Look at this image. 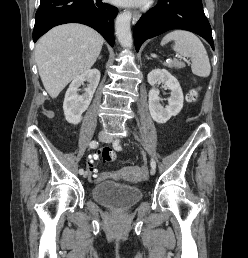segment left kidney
Instances as JSON below:
<instances>
[{
  "instance_id": "left-kidney-1",
  "label": "left kidney",
  "mask_w": 248,
  "mask_h": 258,
  "mask_svg": "<svg viewBox=\"0 0 248 258\" xmlns=\"http://www.w3.org/2000/svg\"><path fill=\"white\" fill-rule=\"evenodd\" d=\"M147 80L153 86L148 94L150 115L155 122L160 124L166 123L183 108L184 97L180 84L166 69L152 70L148 74ZM160 82L164 83L171 90V96L168 98V105L165 108L160 104L159 90L154 88Z\"/></svg>"
}]
</instances>
